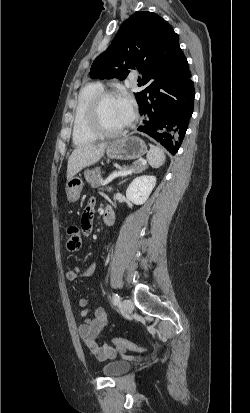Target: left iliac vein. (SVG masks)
I'll use <instances>...</instances> for the list:
<instances>
[{
	"mask_svg": "<svg viewBox=\"0 0 250 413\" xmlns=\"http://www.w3.org/2000/svg\"><path fill=\"white\" fill-rule=\"evenodd\" d=\"M121 308L125 313L129 314L134 309L133 302L129 299H124L121 302Z\"/></svg>",
	"mask_w": 250,
	"mask_h": 413,
	"instance_id": "obj_1",
	"label": "left iliac vein"
}]
</instances>
